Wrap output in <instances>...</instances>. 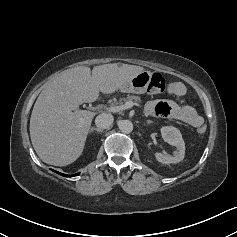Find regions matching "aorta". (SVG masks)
<instances>
[{
	"mask_svg": "<svg viewBox=\"0 0 237 237\" xmlns=\"http://www.w3.org/2000/svg\"><path fill=\"white\" fill-rule=\"evenodd\" d=\"M118 127L122 133L128 134L133 130V124L130 120H121Z\"/></svg>",
	"mask_w": 237,
	"mask_h": 237,
	"instance_id": "aorta-1",
	"label": "aorta"
}]
</instances>
